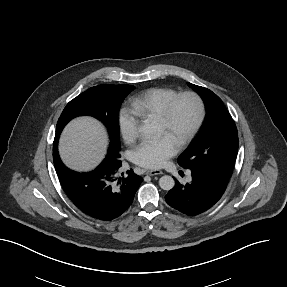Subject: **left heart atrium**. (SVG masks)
<instances>
[{"mask_svg":"<svg viewBox=\"0 0 287 287\" xmlns=\"http://www.w3.org/2000/svg\"><path fill=\"white\" fill-rule=\"evenodd\" d=\"M177 152V145L167 136L143 141L133 152L136 164L149 168L162 167Z\"/></svg>","mask_w":287,"mask_h":287,"instance_id":"39dd6f15","label":"left heart atrium"}]
</instances>
